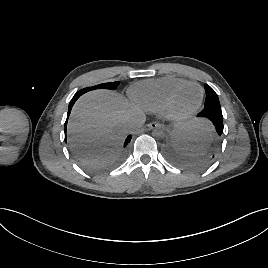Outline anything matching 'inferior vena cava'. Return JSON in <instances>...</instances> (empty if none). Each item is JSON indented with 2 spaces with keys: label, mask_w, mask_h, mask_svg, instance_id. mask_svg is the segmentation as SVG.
<instances>
[{
  "label": "inferior vena cava",
  "mask_w": 268,
  "mask_h": 268,
  "mask_svg": "<svg viewBox=\"0 0 268 268\" xmlns=\"http://www.w3.org/2000/svg\"><path fill=\"white\" fill-rule=\"evenodd\" d=\"M144 121L143 118H140L138 121H135V124H133L130 128L133 130L136 126H140V123Z\"/></svg>",
  "instance_id": "obj_1"
}]
</instances>
